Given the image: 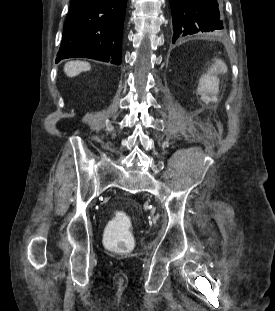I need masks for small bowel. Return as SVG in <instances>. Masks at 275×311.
<instances>
[{
  "mask_svg": "<svg viewBox=\"0 0 275 311\" xmlns=\"http://www.w3.org/2000/svg\"><path fill=\"white\" fill-rule=\"evenodd\" d=\"M209 69L199 74L196 92L203 103H208L209 108H216L219 101L218 93L221 87V76H226L225 56H210Z\"/></svg>",
  "mask_w": 275,
  "mask_h": 311,
  "instance_id": "c3829d8e",
  "label": "small bowel"
}]
</instances>
